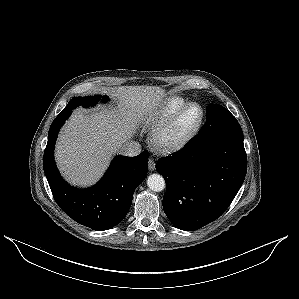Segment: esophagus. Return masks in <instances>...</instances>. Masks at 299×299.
Segmentation results:
<instances>
[{
	"mask_svg": "<svg viewBox=\"0 0 299 299\" xmlns=\"http://www.w3.org/2000/svg\"><path fill=\"white\" fill-rule=\"evenodd\" d=\"M148 168H149L150 171L155 170V161L153 159L148 160Z\"/></svg>",
	"mask_w": 299,
	"mask_h": 299,
	"instance_id": "34e87169",
	"label": "esophagus"
}]
</instances>
